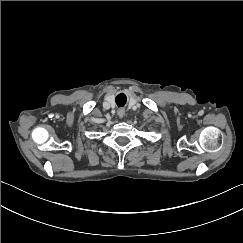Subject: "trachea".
I'll return each mask as SVG.
<instances>
[{
    "mask_svg": "<svg viewBox=\"0 0 243 243\" xmlns=\"http://www.w3.org/2000/svg\"><path fill=\"white\" fill-rule=\"evenodd\" d=\"M115 102L118 107H123L127 102V98L124 94H118L115 98Z\"/></svg>",
    "mask_w": 243,
    "mask_h": 243,
    "instance_id": "obj_1",
    "label": "trachea"
}]
</instances>
